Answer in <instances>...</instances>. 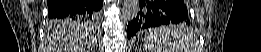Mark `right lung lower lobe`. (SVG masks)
Here are the masks:
<instances>
[{
  "mask_svg": "<svg viewBox=\"0 0 261 52\" xmlns=\"http://www.w3.org/2000/svg\"><path fill=\"white\" fill-rule=\"evenodd\" d=\"M47 3L49 19L71 16L97 19L103 5L102 0H48Z\"/></svg>",
  "mask_w": 261,
  "mask_h": 52,
  "instance_id": "right-lung-lower-lobe-1",
  "label": "right lung lower lobe"
}]
</instances>
